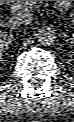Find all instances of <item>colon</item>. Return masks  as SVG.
<instances>
[{
    "instance_id": "1",
    "label": "colon",
    "mask_w": 74,
    "mask_h": 122,
    "mask_svg": "<svg viewBox=\"0 0 74 122\" xmlns=\"http://www.w3.org/2000/svg\"><path fill=\"white\" fill-rule=\"evenodd\" d=\"M65 2H68V1H62V4H64L65 6H67V4H65Z\"/></svg>"
}]
</instances>
